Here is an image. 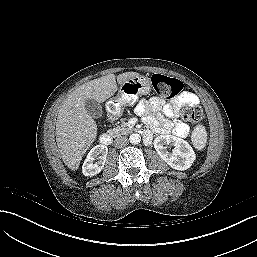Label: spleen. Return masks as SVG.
I'll list each match as a JSON object with an SVG mask.
<instances>
[{
    "label": "spleen",
    "mask_w": 257,
    "mask_h": 257,
    "mask_svg": "<svg viewBox=\"0 0 257 257\" xmlns=\"http://www.w3.org/2000/svg\"><path fill=\"white\" fill-rule=\"evenodd\" d=\"M191 140L194 147L198 150H202L207 142V132L203 125H197L191 135Z\"/></svg>",
    "instance_id": "spleen-1"
}]
</instances>
